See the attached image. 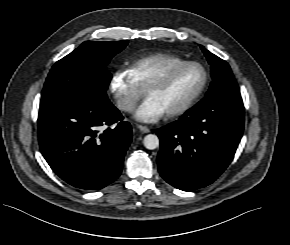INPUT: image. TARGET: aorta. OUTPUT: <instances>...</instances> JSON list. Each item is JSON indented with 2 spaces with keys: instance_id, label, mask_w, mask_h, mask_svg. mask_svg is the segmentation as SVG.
I'll list each match as a JSON object with an SVG mask.
<instances>
[{
  "instance_id": "762f6f07",
  "label": "aorta",
  "mask_w": 290,
  "mask_h": 245,
  "mask_svg": "<svg viewBox=\"0 0 290 245\" xmlns=\"http://www.w3.org/2000/svg\"><path fill=\"white\" fill-rule=\"evenodd\" d=\"M144 146L149 150H154L159 147V138L155 134H148L143 140Z\"/></svg>"
}]
</instances>
